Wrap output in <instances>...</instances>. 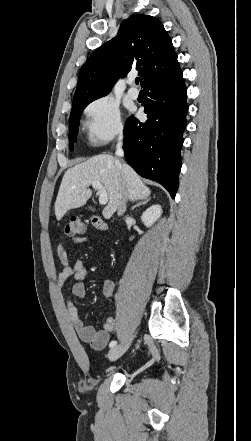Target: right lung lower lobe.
Wrapping results in <instances>:
<instances>
[{
  "instance_id": "1",
  "label": "right lung lower lobe",
  "mask_w": 251,
  "mask_h": 441,
  "mask_svg": "<svg viewBox=\"0 0 251 441\" xmlns=\"http://www.w3.org/2000/svg\"><path fill=\"white\" fill-rule=\"evenodd\" d=\"M147 121L131 116L124 128L126 162L142 177L159 182L175 198L186 127V86L178 66L145 84Z\"/></svg>"
}]
</instances>
